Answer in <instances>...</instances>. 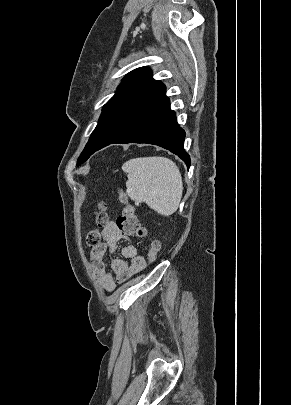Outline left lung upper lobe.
I'll return each mask as SVG.
<instances>
[{
  "mask_svg": "<svg viewBox=\"0 0 291 405\" xmlns=\"http://www.w3.org/2000/svg\"><path fill=\"white\" fill-rule=\"evenodd\" d=\"M157 82L147 67L137 68L126 75L115 95L104 105L98 124L78 158L77 166L123 133L137 106Z\"/></svg>",
  "mask_w": 291,
  "mask_h": 405,
  "instance_id": "1",
  "label": "left lung upper lobe"
}]
</instances>
